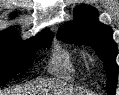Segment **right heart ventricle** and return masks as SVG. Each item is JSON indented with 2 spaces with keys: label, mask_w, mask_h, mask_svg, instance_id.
Masks as SVG:
<instances>
[{
  "label": "right heart ventricle",
  "mask_w": 119,
  "mask_h": 95,
  "mask_svg": "<svg viewBox=\"0 0 119 95\" xmlns=\"http://www.w3.org/2000/svg\"><path fill=\"white\" fill-rule=\"evenodd\" d=\"M81 63V58L75 52L58 47L51 58L50 71L55 75L71 78Z\"/></svg>",
  "instance_id": "e07e8e85"
}]
</instances>
